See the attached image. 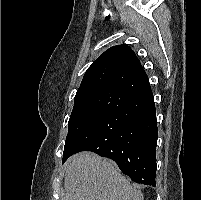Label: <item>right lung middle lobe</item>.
<instances>
[{"label":"right lung middle lobe","instance_id":"dd1d6c3e","mask_svg":"<svg viewBox=\"0 0 201 200\" xmlns=\"http://www.w3.org/2000/svg\"><path fill=\"white\" fill-rule=\"evenodd\" d=\"M129 100L121 94L103 90L76 94L68 122L63 159L67 154V145L79 132Z\"/></svg>","mask_w":201,"mask_h":200}]
</instances>
